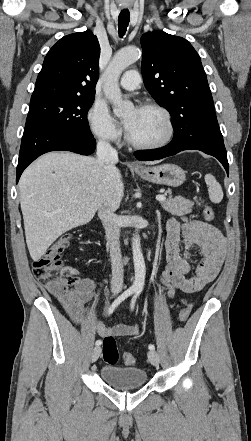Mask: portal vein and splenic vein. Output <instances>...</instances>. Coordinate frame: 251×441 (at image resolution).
I'll return each instance as SVG.
<instances>
[{
    "label": "portal vein and splenic vein",
    "instance_id": "portal-vein-and-splenic-vein-1",
    "mask_svg": "<svg viewBox=\"0 0 251 441\" xmlns=\"http://www.w3.org/2000/svg\"><path fill=\"white\" fill-rule=\"evenodd\" d=\"M156 200L159 202H163L166 200V197L164 195H157Z\"/></svg>",
    "mask_w": 251,
    "mask_h": 441
}]
</instances>
